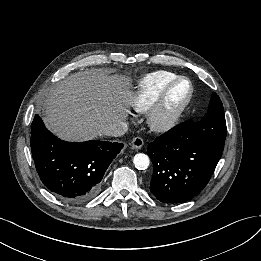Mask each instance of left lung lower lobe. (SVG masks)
Wrapping results in <instances>:
<instances>
[{
	"instance_id": "0a47b994",
	"label": "left lung lower lobe",
	"mask_w": 261,
	"mask_h": 261,
	"mask_svg": "<svg viewBox=\"0 0 261 261\" xmlns=\"http://www.w3.org/2000/svg\"><path fill=\"white\" fill-rule=\"evenodd\" d=\"M200 133L199 122L186 121L150 144V190L162 203L187 202L209 182L223 151L202 142Z\"/></svg>"
}]
</instances>
